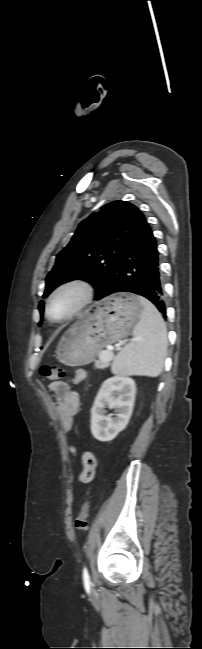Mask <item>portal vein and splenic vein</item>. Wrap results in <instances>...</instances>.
Masks as SVG:
<instances>
[{
	"mask_svg": "<svg viewBox=\"0 0 202 649\" xmlns=\"http://www.w3.org/2000/svg\"><path fill=\"white\" fill-rule=\"evenodd\" d=\"M123 344H124V342H120L119 346H121V345H123ZM108 350H112V348H108ZM99 358H100V360H102V361H111V360L113 359V355L107 354L106 351H104V352L100 355Z\"/></svg>",
	"mask_w": 202,
	"mask_h": 649,
	"instance_id": "obj_1",
	"label": "portal vein and splenic vein"
}]
</instances>
